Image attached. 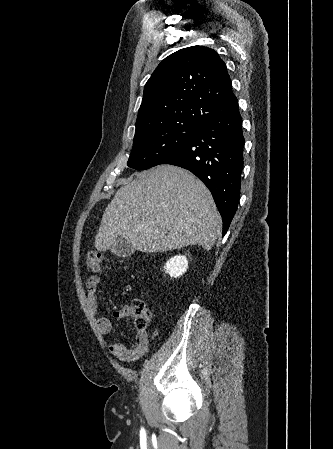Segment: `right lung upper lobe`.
I'll return each mask as SVG.
<instances>
[{
    "mask_svg": "<svg viewBox=\"0 0 333 449\" xmlns=\"http://www.w3.org/2000/svg\"><path fill=\"white\" fill-rule=\"evenodd\" d=\"M237 102L219 55L204 46L184 48L165 58L147 81L135 136L169 123L203 126Z\"/></svg>",
    "mask_w": 333,
    "mask_h": 449,
    "instance_id": "cb5924a9",
    "label": "right lung upper lobe"
}]
</instances>
